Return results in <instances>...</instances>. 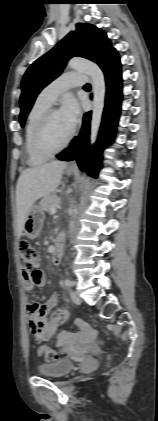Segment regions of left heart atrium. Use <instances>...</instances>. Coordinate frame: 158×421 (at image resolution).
Returning a JSON list of instances; mask_svg holds the SVG:
<instances>
[{"label": "left heart atrium", "mask_w": 158, "mask_h": 421, "mask_svg": "<svg viewBox=\"0 0 158 421\" xmlns=\"http://www.w3.org/2000/svg\"><path fill=\"white\" fill-rule=\"evenodd\" d=\"M68 127L73 130L80 118V109L73 97H67L59 110Z\"/></svg>", "instance_id": "1"}]
</instances>
